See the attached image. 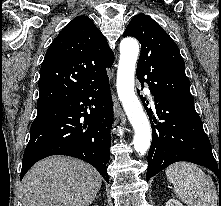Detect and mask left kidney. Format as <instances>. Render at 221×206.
Returning a JSON list of instances; mask_svg holds the SVG:
<instances>
[{
    "mask_svg": "<svg viewBox=\"0 0 221 206\" xmlns=\"http://www.w3.org/2000/svg\"><path fill=\"white\" fill-rule=\"evenodd\" d=\"M166 206H183V204L176 199H169L166 203Z\"/></svg>",
    "mask_w": 221,
    "mask_h": 206,
    "instance_id": "left-kidney-1",
    "label": "left kidney"
}]
</instances>
